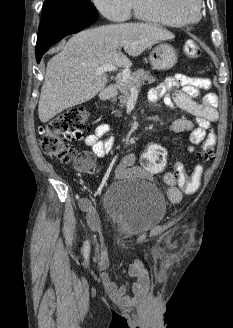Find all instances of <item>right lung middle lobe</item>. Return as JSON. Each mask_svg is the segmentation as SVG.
I'll list each match as a JSON object with an SVG mask.
<instances>
[{
  "label": "right lung middle lobe",
  "instance_id": "1",
  "mask_svg": "<svg viewBox=\"0 0 233 328\" xmlns=\"http://www.w3.org/2000/svg\"><path fill=\"white\" fill-rule=\"evenodd\" d=\"M43 9H70L97 12L90 0H45Z\"/></svg>",
  "mask_w": 233,
  "mask_h": 328
}]
</instances>
